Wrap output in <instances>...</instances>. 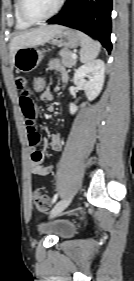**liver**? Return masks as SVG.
Listing matches in <instances>:
<instances>
[{
	"label": "liver",
	"instance_id": "liver-1",
	"mask_svg": "<svg viewBox=\"0 0 134 281\" xmlns=\"http://www.w3.org/2000/svg\"><path fill=\"white\" fill-rule=\"evenodd\" d=\"M62 29L60 25L41 26L15 36L10 43V62L13 65L14 55L20 48L35 47L48 42Z\"/></svg>",
	"mask_w": 134,
	"mask_h": 281
}]
</instances>
